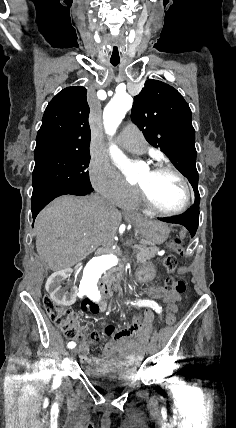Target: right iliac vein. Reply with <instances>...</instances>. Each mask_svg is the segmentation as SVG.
Returning <instances> with one entry per match:
<instances>
[{
  "mask_svg": "<svg viewBox=\"0 0 236 428\" xmlns=\"http://www.w3.org/2000/svg\"><path fill=\"white\" fill-rule=\"evenodd\" d=\"M74 349L77 351L79 348L76 346ZM76 351H71V356H76L78 354Z\"/></svg>",
  "mask_w": 236,
  "mask_h": 428,
  "instance_id": "right-iliac-vein-1",
  "label": "right iliac vein"
}]
</instances>
